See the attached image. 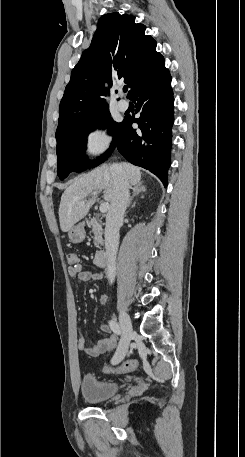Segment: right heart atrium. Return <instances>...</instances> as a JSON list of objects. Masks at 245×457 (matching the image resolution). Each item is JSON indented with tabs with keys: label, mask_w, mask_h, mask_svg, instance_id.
I'll return each instance as SVG.
<instances>
[{
	"label": "right heart atrium",
	"mask_w": 245,
	"mask_h": 457,
	"mask_svg": "<svg viewBox=\"0 0 245 457\" xmlns=\"http://www.w3.org/2000/svg\"><path fill=\"white\" fill-rule=\"evenodd\" d=\"M109 142V137L102 128L92 130L87 136V144L90 150L99 151Z\"/></svg>",
	"instance_id": "1"
}]
</instances>
